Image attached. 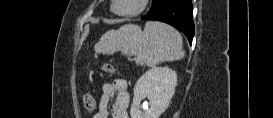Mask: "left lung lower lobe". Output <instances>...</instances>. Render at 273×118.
<instances>
[{
  "mask_svg": "<svg viewBox=\"0 0 273 118\" xmlns=\"http://www.w3.org/2000/svg\"><path fill=\"white\" fill-rule=\"evenodd\" d=\"M192 12L191 0H162L160 5L143 16V19L161 21L175 27L184 33L191 44L195 32Z\"/></svg>",
  "mask_w": 273,
  "mask_h": 118,
  "instance_id": "left-lung-lower-lobe-1",
  "label": "left lung lower lobe"
}]
</instances>
